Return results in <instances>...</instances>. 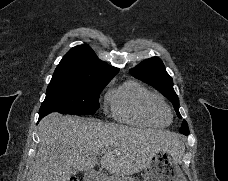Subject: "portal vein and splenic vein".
Wrapping results in <instances>:
<instances>
[{
	"instance_id": "1",
	"label": "portal vein and splenic vein",
	"mask_w": 228,
	"mask_h": 181,
	"mask_svg": "<svg viewBox=\"0 0 228 181\" xmlns=\"http://www.w3.org/2000/svg\"><path fill=\"white\" fill-rule=\"evenodd\" d=\"M105 151H107V149H102V151H99L98 155H103V153H105Z\"/></svg>"
}]
</instances>
